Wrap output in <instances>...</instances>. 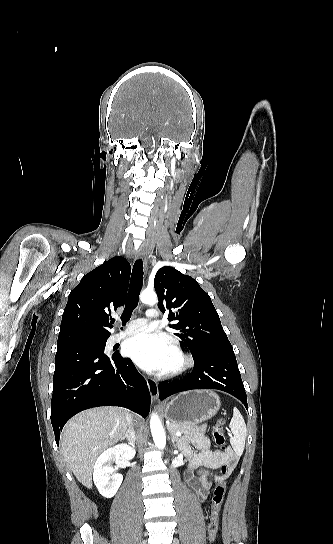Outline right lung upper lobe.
<instances>
[{
    "label": "right lung upper lobe",
    "mask_w": 333,
    "mask_h": 544,
    "mask_svg": "<svg viewBox=\"0 0 333 544\" xmlns=\"http://www.w3.org/2000/svg\"><path fill=\"white\" fill-rule=\"evenodd\" d=\"M130 272L129 262L116 256L81 279L68 296L57 347L107 340L112 328L109 314L125 303Z\"/></svg>",
    "instance_id": "cb5924a9"
}]
</instances>
